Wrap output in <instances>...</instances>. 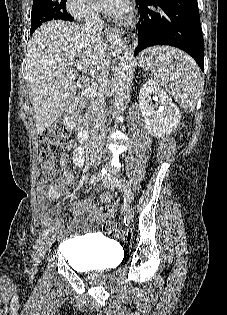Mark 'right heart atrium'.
Returning a JSON list of instances; mask_svg holds the SVG:
<instances>
[{"label": "right heart atrium", "instance_id": "1", "mask_svg": "<svg viewBox=\"0 0 227 315\" xmlns=\"http://www.w3.org/2000/svg\"><path fill=\"white\" fill-rule=\"evenodd\" d=\"M66 8L70 15L84 23H92L99 15L91 0H67Z\"/></svg>", "mask_w": 227, "mask_h": 315}]
</instances>
